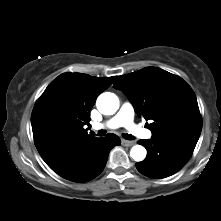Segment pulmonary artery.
Wrapping results in <instances>:
<instances>
[{"label": "pulmonary artery", "instance_id": "obj_1", "mask_svg": "<svg viewBox=\"0 0 221 221\" xmlns=\"http://www.w3.org/2000/svg\"><path fill=\"white\" fill-rule=\"evenodd\" d=\"M119 127H125L132 135L143 139H148L152 135L150 131L134 123V108L129 102H125L113 118L104 123L93 124V128L97 130L102 128L116 129Z\"/></svg>", "mask_w": 221, "mask_h": 221}]
</instances>
